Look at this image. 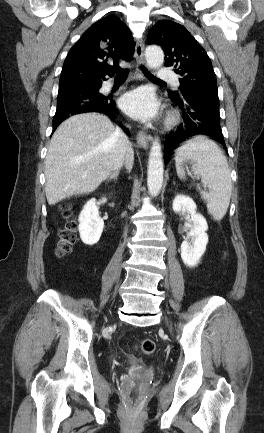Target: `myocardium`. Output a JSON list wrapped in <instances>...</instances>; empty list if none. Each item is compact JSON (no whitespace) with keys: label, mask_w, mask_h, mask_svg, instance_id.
<instances>
[{"label":"myocardium","mask_w":264,"mask_h":433,"mask_svg":"<svg viewBox=\"0 0 264 433\" xmlns=\"http://www.w3.org/2000/svg\"><path fill=\"white\" fill-rule=\"evenodd\" d=\"M176 121H177V116L174 115V114H171V115L168 117V119H167V124H168V125H173V124L176 123Z\"/></svg>","instance_id":"f54148a6"}]
</instances>
